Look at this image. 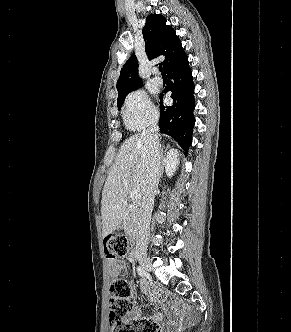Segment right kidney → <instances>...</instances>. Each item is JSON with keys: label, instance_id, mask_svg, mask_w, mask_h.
I'll return each instance as SVG.
<instances>
[{"label": "right kidney", "instance_id": "right-kidney-1", "mask_svg": "<svg viewBox=\"0 0 291 332\" xmlns=\"http://www.w3.org/2000/svg\"><path fill=\"white\" fill-rule=\"evenodd\" d=\"M176 156L177 155L174 150H170L167 154L166 172L168 176L172 175V172L175 170L176 164L178 163Z\"/></svg>", "mask_w": 291, "mask_h": 332}]
</instances>
